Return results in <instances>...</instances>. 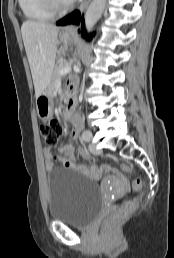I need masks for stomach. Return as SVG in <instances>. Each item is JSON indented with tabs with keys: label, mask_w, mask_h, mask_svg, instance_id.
Listing matches in <instances>:
<instances>
[{
	"label": "stomach",
	"mask_w": 174,
	"mask_h": 258,
	"mask_svg": "<svg viewBox=\"0 0 174 258\" xmlns=\"http://www.w3.org/2000/svg\"><path fill=\"white\" fill-rule=\"evenodd\" d=\"M60 40L63 42L64 46L67 47L72 41V35L69 33H61ZM36 108L41 120H48L52 117L54 103L50 87H47L46 90L36 98Z\"/></svg>",
	"instance_id": "stomach-1"
}]
</instances>
